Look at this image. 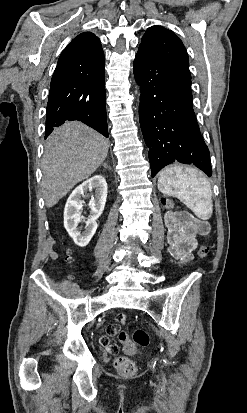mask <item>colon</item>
Masks as SVG:
<instances>
[{
  "instance_id": "1",
  "label": "colon",
  "mask_w": 247,
  "mask_h": 413,
  "mask_svg": "<svg viewBox=\"0 0 247 413\" xmlns=\"http://www.w3.org/2000/svg\"><path fill=\"white\" fill-rule=\"evenodd\" d=\"M164 204L169 206L170 210H177V206L172 199H164ZM209 248L204 245H200L198 247V254L201 258H206L209 255ZM66 262L68 264L73 262V257L68 255L66 257ZM117 340L121 341L122 343V355L121 357H117L114 361L115 368L118 372L125 374V375H132L136 372L137 366L136 363L129 359L126 356H131L135 349L137 352V347H145L149 344L150 341V334L146 330H135L132 335L131 332H123V334H119ZM135 345V346H134Z\"/></svg>"
}]
</instances>
